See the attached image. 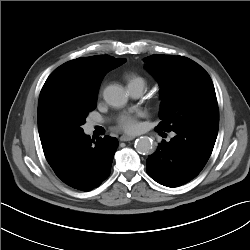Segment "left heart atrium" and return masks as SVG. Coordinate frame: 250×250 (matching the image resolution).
<instances>
[{"label":"left heart atrium","mask_w":250,"mask_h":250,"mask_svg":"<svg viewBox=\"0 0 250 250\" xmlns=\"http://www.w3.org/2000/svg\"><path fill=\"white\" fill-rule=\"evenodd\" d=\"M119 127L127 133H134L139 129L137 116L133 114H125L120 117Z\"/></svg>","instance_id":"left-heart-atrium-1"}]
</instances>
